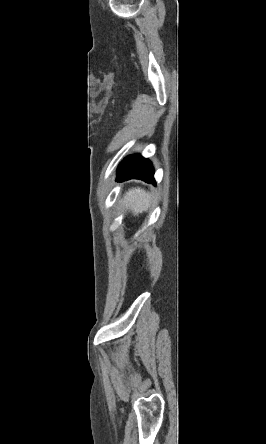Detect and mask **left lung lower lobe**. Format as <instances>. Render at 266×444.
<instances>
[{
    "label": "left lung lower lobe",
    "instance_id": "obj_1",
    "mask_svg": "<svg viewBox=\"0 0 266 444\" xmlns=\"http://www.w3.org/2000/svg\"><path fill=\"white\" fill-rule=\"evenodd\" d=\"M154 169L149 160L138 154L127 157L119 166L117 180L141 179L145 182L155 184Z\"/></svg>",
    "mask_w": 266,
    "mask_h": 444
}]
</instances>
